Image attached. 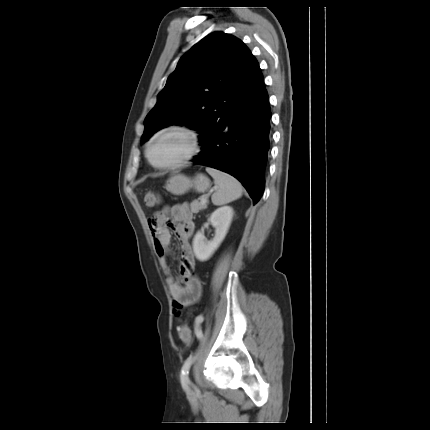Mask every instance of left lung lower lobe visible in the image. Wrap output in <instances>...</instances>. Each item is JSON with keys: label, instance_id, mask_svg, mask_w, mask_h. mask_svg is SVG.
<instances>
[{"label": "left lung lower lobe", "instance_id": "obj_1", "mask_svg": "<svg viewBox=\"0 0 430 430\" xmlns=\"http://www.w3.org/2000/svg\"><path fill=\"white\" fill-rule=\"evenodd\" d=\"M252 80L254 88L233 102L211 131L199 136L202 151L191 161L231 174L256 204L265 187L271 111L260 69Z\"/></svg>", "mask_w": 430, "mask_h": 430}]
</instances>
